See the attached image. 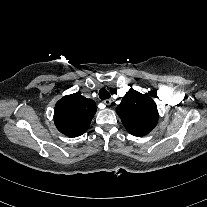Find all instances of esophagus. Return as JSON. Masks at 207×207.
<instances>
[{
	"label": "esophagus",
	"mask_w": 207,
	"mask_h": 207,
	"mask_svg": "<svg viewBox=\"0 0 207 207\" xmlns=\"http://www.w3.org/2000/svg\"><path fill=\"white\" fill-rule=\"evenodd\" d=\"M103 102L107 106H109L112 103L111 99H105Z\"/></svg>",
	"instance_id": "1"
}]
</instances>
